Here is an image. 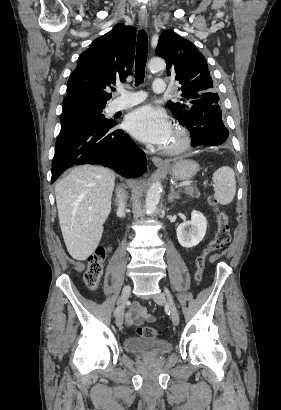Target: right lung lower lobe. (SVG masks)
<instances>
[{
    "label": "right lung lower lobe",
    "mask_w": 281,
    "mask_h": 410,
    "mask_svg": "<svg viewBox=\"0 0 281 410\" xmlns=\"http://www.w3.org/2000/svg\"><path fill=\"white\" fill-rule=\"evenodd\" d=\"M116 121L88 124L57 138L52 162L53 183L63 171L74 165L98 164L114 169L125 177H139L147 168L143 151L121 129Z\"/></svg>",
    "instance_id": "1"
}]
</instances>
